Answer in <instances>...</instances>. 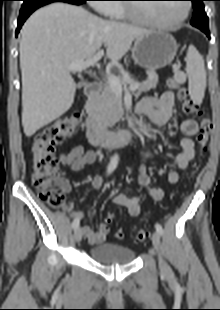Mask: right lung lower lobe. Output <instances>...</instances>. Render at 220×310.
I'll list each match as a JSON object with an SVG mask.
<instances>
[{
    "label": "right lung lower lobe",
    "mask_w": 220,
    "mask_h": 310,
    "mask_svg": "<svg viewBox=\"0 0 220 310\" xmlns=\"http://www.w3.org/2000/svg\"><path fill=\"white\" fill-rule=\"evenodd\" d=\"M56 1H62V2L71 3L75 5H81L85 3L86 0H37L33 2H24L21 7L19 18H18V27L16 30V36L18 35V32L21 26L23 25V23L30 16L32 12H34L36 9H38L41 6H44L46 4L56 2Z\"/></svg>",
    "instance_id": "98d812e1"
}]
</instances>
